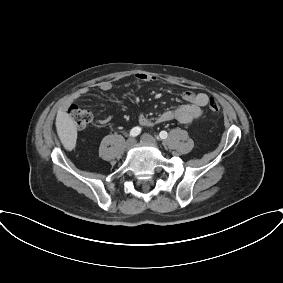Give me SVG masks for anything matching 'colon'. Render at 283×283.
<instances>
[{
  "instance_id": "obj_1",
  "label": "colon",
  "mask_w": 283,
  "mask_h": 283,
  "mask_svg": "<svg viewBox=\"0 0 283 283\" xmlns=\"http://www.w3.org/2000/svg\"><path fill=\"white\" fill-rule=\"evenodd\" d=\"M208 108L212 114H217L220 111V105L213 97L208 100ZM66 116L78 129H85L93 120V116L88 110L79 108L76 105H71L67 109Z\"/></svg>"
}]
</instances>
